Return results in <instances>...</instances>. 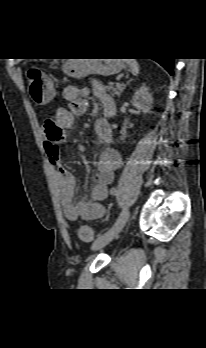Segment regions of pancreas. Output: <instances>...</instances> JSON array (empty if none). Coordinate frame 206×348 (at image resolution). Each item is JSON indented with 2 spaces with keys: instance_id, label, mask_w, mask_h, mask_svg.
Here are the masks:
<instances>
[{
  "instance_id": "cf45deb5",
  "label": "pancreas",
  "mask_w": 206,
  "mask_h": 348,
  "mask_svg": "<svg viewBox=\"0 0 206 348\" xmlns=\"http://www.w3.org/2000/svg\"><path fill=\"white\" fill-rule=\"evenodd\" d=\"M107 90L111 91L112 95H117L119 96L120 93L122 92V87H114L113 83H108L107 85Z\"/></svg>"
}]
</instances>
